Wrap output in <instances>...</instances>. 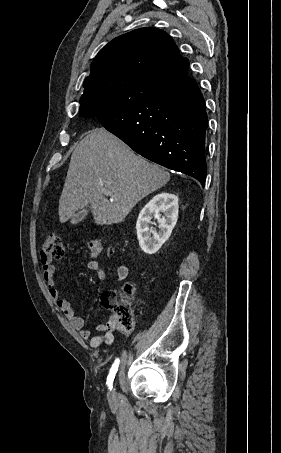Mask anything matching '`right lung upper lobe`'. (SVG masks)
Returning <instances> with one entry per match:
<instances>
[{
	"instance_id": "cb5924a9",
	"label": "right lung upper lobe",
	"mask_w": 281,
	"mask_h": 453,
	"mask_svg": "<svg viewBox=\"0 0 281 453\" xmlns=\"http://www.w3.org/2000/svg\"><path fill=\"white\" fill-rule=\"evenodd\" d=\"M189 61L172 38L157 28H140L103 47L84 80L79 113L91 107L129 101L149 89L188 75Z\"/></svg>"
}]
</instances>
